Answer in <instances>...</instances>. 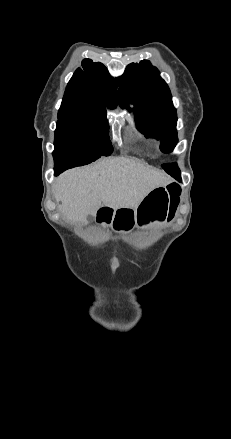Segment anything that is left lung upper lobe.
<instances>
[{"mask_svg": "<svg viewBox=\"0 0 231 439\" xmlns=\"http://www.w3.org/2000/svg\"><path fill=\"white\" fill-rule=\"evenodd\" d=\"M121 105L129 109L134 104L137 128L147 137L154 136L161 141V150L171 152L178 142L176 109L166 82L159 71L147 60L129 64L119 78ZM164 170L175 178L180 171L175 163L163 164Z\"/></svg>", "mask_w": 231, "mask_h": 439, "instance_id": "left-lung-upper-lobe-1", "label": "left lung upper lobe"}]
</instances>
